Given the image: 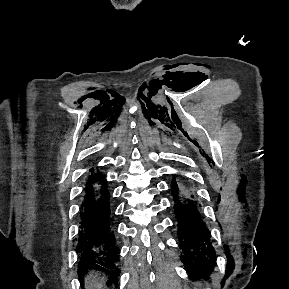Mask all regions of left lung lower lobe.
Listing matches in <instances>:
<instances>
[{
    "label": "left lung lower lobe",
    "instance_id": "0a47b994",
    "mask_svg": "<svg viewBox=\"0 0 289 289\" xmlns=\"http://www.w3.org/2000/svg\"><path fill=\"white\" fill-rule=\"evenodd\" d=\"M174 210L178 222L181 260L190 276L210 272L214 265V248L210 233L199 213L201 205L195 190L185 179H172Z\"/></svg>",
    "mask_w": 289,
    "mask_h": 289
}]
</instances>
